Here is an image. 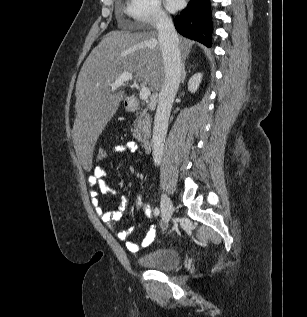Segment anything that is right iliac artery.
I'll use <instances>...</instances> for the list:
<instances>
[{"label": "right iliac artery", "mask_w": 307, "mask_h": 317, "mask_svg": "<svg viewBox=\"0 0 307 317\" xmlns=\"http://www.w3.org/2000/svg\"><path fill=\"white\" fill-rule=\"evenodd\" d=\"M159 213H160L159 209H158V208H155V210H154V214H155V216H158V215H159Z\"/></svg>", "instance_id": "82829eb1"}]
</instances>
